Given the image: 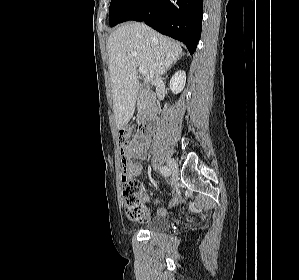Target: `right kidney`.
Here are the masks:
<instances>
[{
  "label": "right kidney",
  "mask_w": 299,
  "mask_h": 280,
  "mask_svg": "<svg viewBox=\"0 0 299 280\" xmlns=\"http://www.w3.org/2000/svg\"><path fill=\"white\" fill-rule=\"evenodd\" d=\"M186 83V73L185 71H177L170 80V89L173 93H180Z\"/></svg>",
  "instance_id": "right-kidney-1"
}]
</instances>
